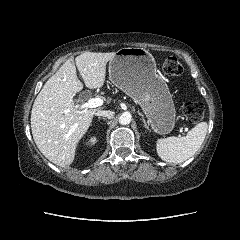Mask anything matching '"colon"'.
Instances as JSON below:
<instances>
[{"label": "colon", "instance_id": "colon-1", "mask_svg": "<svg viewBox=\"0 0 240 240\" xmlns=\"http://www.w3.org/2000/svg\"><path fill=\"white\" fill-rule=\"evenodd\" d=\"M163 72L168 77H177L183 73V67L176 57H167L162 66ZM182 111L186 119L192 123H196L203 118L204 105L200 102H186Z\"/></svg>", "mask_w": 240, "mask_h": 240}]
</instances>
